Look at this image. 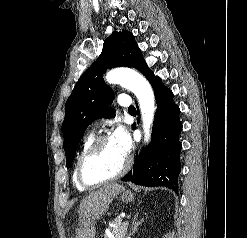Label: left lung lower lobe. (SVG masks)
<instances>
[{"label": "left lung lower lobe", "instance_id": "0a47b994", "mask_svg": "<svg viewBox=\"0 0 247 238\" xmlns=\"http://www.w3.org/2000/svg\"><path fill=\"white\" fill-rule=\"evenodd\" d=\"M146 78L154 89L157 103L153 136L150 145L136 157L133 170L122 181L147 187L165 186L177 191L181 170L180 109L173 102L172 91L161 83L159 77L151 71Z\"/></svg>", "mask_w": 247, "mask_h": 238}]
</instances>
